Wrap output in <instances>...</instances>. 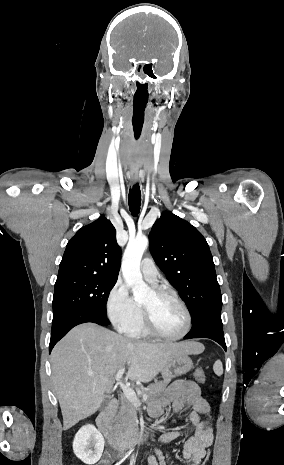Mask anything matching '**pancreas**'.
<instances>
[{"label": "pancreas", "instance_id": "cf45deb5", "mask_svg": "<svg viewBox=\"0 0 284 465\" xmlns=\"http://www.w3.org/2000/svg\"><path fill=\"white\" fill-rule=\"evenodd\" d=\"M172 375H165L164 381H159V383H154V385H149L147 389H141L142 395H148V401H154L157 397H160L164 393L167 385H169ZM137 419L136 411L134 405L129 403L128 399L121 397V407L117 413H115L114 421L115 427L119 433L122 435H128L132 433L136 425L135 421Z\"/></svg>", "mask_w": 284, "mask_h": 465}]
</instances>
